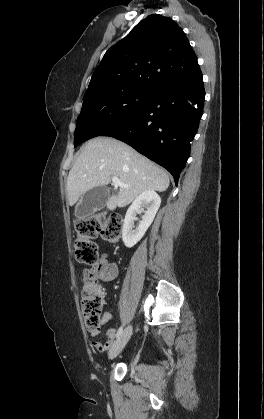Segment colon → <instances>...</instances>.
Returning a JSON list of instances; mask_svg holds the SVG:
<instances>
[{
	"mask_svg": "<svg viewBox=\"0 0 264 419\" xmlns=\"http://www.w3.org/2000/svg\"><path fill=\"white\" fill-rule=\"evenodd\" d=\"M75 230V258L80 263L91 265L98 261V245L95 239L101 236L109 243L118 242L122 233V219L115 214H98L77 219ZM103 305L104 296L100 286L92 280H86L81 293V308L85 325L91 332L101 330Z\"/></svg>",
	"mask_w": 264,
	"mask_h": 419,
	"instance_id": "obj_1",
	"label": "colon"
}]
</instances>
